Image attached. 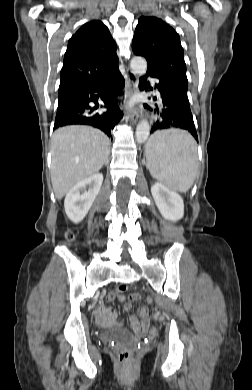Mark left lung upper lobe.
Returning a JSON list of instances; mask_svg holds the SVG:
<instances>
[{"label":"left lung upper lobe","instance_id":"1","mask_svg":"<svg viewBox=\"0 0 252 390\" xmlns=\"http://www.w3.org/2000/svg\"><path fill=\"white\" fill-rule=\"evenodd\" d=\"M132 50L148 63L147 72L167 77L188 88L186 64L180 37L161 19L142 16L136 27Z\"/></svg>","mask_w":252,"mask_h":390}]
</instances>
